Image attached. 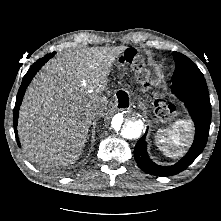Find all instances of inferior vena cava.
I'll return each mask as SVG.
<instances>
[{
	"instance_id": "obj_1",
	"label": "inferior vena cava",
	"mask_w": 221,
	"mask_h": 221,
	"mask_svg": "<svg viewBox=\"0 0 221 221\" xmlns=\"http://www.w3.org/2000/svg\"><path fill=\"white\" fill-rule=\"evenodd\" d=\"M92 116H93L94 118H99V117L101 116V111H100L99 109H94V110L92 111Z\"/></svg>"
}]
</instances>
